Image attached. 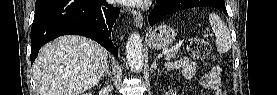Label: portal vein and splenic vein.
Instances as JSON below:
<instances>
[{"label":"portal vein and splenic vein","mask_w":277,"mask_h":95,"mask_svg":"<svg viewBox=\"0 0 277 95\" xmlns=\"http://www.w3.org/2000/svg\"><path fill=\"white\" fill-rule=\"evenodd\" d=\"M169 49H165L164 51H163V55H166V54H168L169 53Z\"/></svg>","instance_id":"1"}]
</instances>
